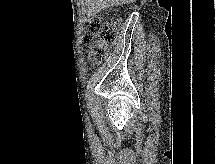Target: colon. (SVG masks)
<instances>
[{"mask_svg": "<svg viewBox=\"0 0 216 164\" xmlns=\"http://www.w3.org/2000/svg\"><path fill=\"white\" fill-rule=\"evenodd\" d=\"M120 20L103 21L101 18H92L88 22V37H96V42L89 52V59L93 64L103 62L109 54L110 47L115 43L118 34Z\"/></svg>", "mask_w": 216, "mask_h": 164, "instance_id": "colon-1", "label": "colon"}]
</instances>
